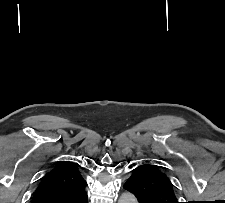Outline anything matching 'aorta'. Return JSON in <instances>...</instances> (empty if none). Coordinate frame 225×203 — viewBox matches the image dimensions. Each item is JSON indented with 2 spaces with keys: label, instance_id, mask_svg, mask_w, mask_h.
<instances>
[{
  "label": "aorta",
  "instance_id": "aorta-1",
  "mask_svg": "<svg viewBox=\"0 0 225 203\" xmlns=\"http://www.w3.org/2000/svg\"><path fill=\"white\" fill-rule=\"evenodd\" d=\"M118 203H137V200L133 194L124 193L120 196Z\"/></svg>",
  "mask_w": 225,
  "mask_h": 203
}]
</instances>
